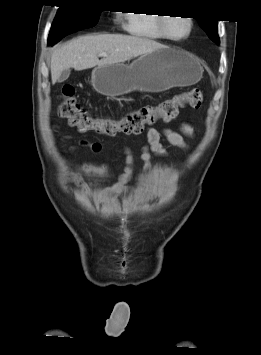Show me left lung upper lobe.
Segmentation results:
<instances>
[{"instance_id": "1", "label": "left lung upper lobe", "mask_w": 261, "mask_h": 355, "mask_svg": "<svg viewBox=\"0 0 261 355\" xmlns=\"http://www.w3.org/2000/svg\"><path fill=\"white\" fill-rule=\"evenodd\" d=\"M197 21L203 30L207 33L209 38L215 43H219L217 21L206 19H197Z\"/></svg>"}]
</instances>
